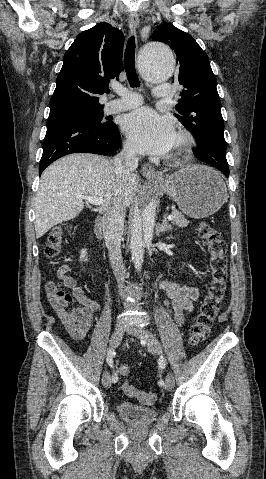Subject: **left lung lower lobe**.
<instances>
[{
	"label": "left lung lower lobe",
	"instance_id": "1",
	"mask_svg": "<svg viewBox=\"0 0 266 479\" xmlns=\"http://www.w3.org/2000/svg\"><path fill=\"white\" fill-rule=\"evenodd\" d=\"M225 176H229V167L223 166L221 168H218Z\"/></svg>",
	"mask_w": 266,
	"mask_h": 479
}]
</instances>
